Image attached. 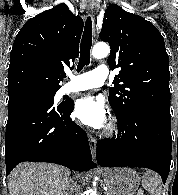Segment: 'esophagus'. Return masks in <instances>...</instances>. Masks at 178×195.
Masks as SVG:
<instances>
[{
    "instance_id": "34e87169",
    "label": "esophagus",
    "mask_w": 178,
    "mask_h": 195,
    "mask_svg": "<svg viewBox=\"0 0 178 195\" xmlns=\"http://www.w3.org/2000/svg\"><path fill=\"white\" fill-rule=\"evenodd\" d=\"M87 6H88V12L91 15L92 20L94 22V17H93V8H94V6H93L92 3H89ZM92 30H93V34L95 35L96 29L94 27V23H93ZM88 139H89V144H90L92 157H93V160H95V158H96V149H97V141L91 134H88Z\"/></svg>"
}]
</instances>
